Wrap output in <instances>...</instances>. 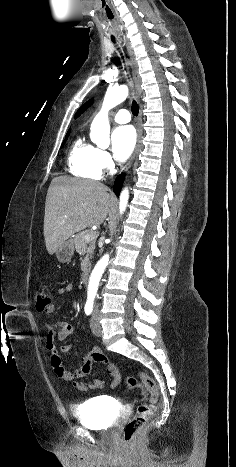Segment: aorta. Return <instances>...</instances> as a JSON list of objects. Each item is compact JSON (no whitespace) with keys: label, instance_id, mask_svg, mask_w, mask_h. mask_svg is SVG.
I'll use <instances>...</instances> for the list:
<instances>
[{"label":"aorta","instance_id":"762f6f07","mask_svg":"<svg viewBox=\"0 0 236 467\" xmlns=\"http://www.w3.org/2000/svg\"><path fill=\"white\" fill-rule=\"evenodd\" d=\"M129 90L126 85L119 87H109L104 96L102 108L92 121L90 128V138L98 146H105L108 142L110 124L108 119V112L118 104L122 103L128 96ZM129 190L124 188L120 194L119 210L123 214L128 205ZM109 255L105 254L94 267L88 284L87 297L88 300H93L97 294L99 282L102 274L108 265Z\"/></svg>","mask_w":236,"mask_h":467}]
</instances>
